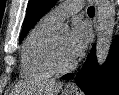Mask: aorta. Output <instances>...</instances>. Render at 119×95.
<instances>
[{
    "mask_svg": "<svg viewBox=\"0 0 119 95\" xmlns=\"http://www.w3.org/2000/svg\"><path fill=\"white\" fill-rule=\"evenodd\" d=\"M98 9L96 58L99 66L107 60L112 43L113 29L115 25V4L113 0H95ZM65 23H60L57 30L68 31Z\"/></svg>",
    "mask_w": 119,
    "mask_h": 95,
    "instance_id": "762f6f07",
    "label": "aorta"
}]
</instances>
